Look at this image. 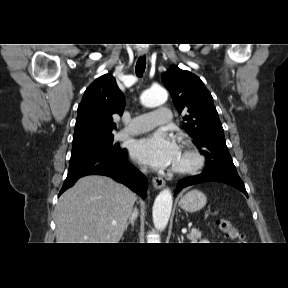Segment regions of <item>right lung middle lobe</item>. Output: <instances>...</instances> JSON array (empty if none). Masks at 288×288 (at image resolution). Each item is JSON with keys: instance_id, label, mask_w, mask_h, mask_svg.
Returning <instances> with one entry per match:
<instances>
[{"instance_id": "1", "label": "right lung middle lobe", "mask_w": 288, "mask_h": 288, "mask_svg": "<svg viewBox=\"0 0 288 288\" xmlns=\"http://www.w3.org/2000/svg\"><path fill=\"white\" fill-rule=\"evenodd\" d=\"M124 149L113 145V135L72 146L70 163L94 155H119Z\"/></svg>"}]
</instances>
